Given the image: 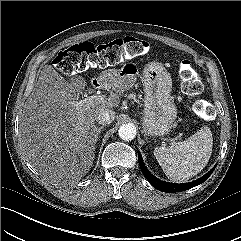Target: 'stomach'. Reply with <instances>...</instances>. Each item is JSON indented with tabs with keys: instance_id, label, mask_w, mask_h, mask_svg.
Segmentation results:
<instances>
[{
	"instance_id": "1",
	"label": "stomach",
	"mask_w": 241,
	"mask_h": 241,
	"mask_svg": "<svg viewBox=\"0 0 241 241\" xmlns=\"http://www.w3.org/2000/svg\"><path fill=\"white\" fill-rule=\"evenodd\" d=\"M137 69L124 65L121 70L105 72L107 82H115L120 88H127L135 81ZM144 86L143 133L148 136H162L170 131L177 117V109L171 97L172 79L166 69L157 63L148 64L142 75Z\"/></svg>"
}]
</instances>
